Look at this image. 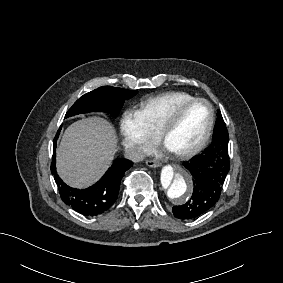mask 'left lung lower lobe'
Here are the masks:
<instances>
[{"label":"left lung lower lobe","mask_w":283,"mask_h":283,"mask_svg":"<svg viewBox=\"0 0 283 283\" xmlns=\"http://www.w3.org/2000/svg\"><path fill=\"white\" fill-rule=\"evenodd\" d=\"M213 141L200 155L184 167L193 179L191 198L181 206H174L172 211L179 219H195L210 210L220 198L222 186L230 169L228 156V132L222 115L217 114Z\"/></svg>","instance_id":"obj_1"}]
</instances>
